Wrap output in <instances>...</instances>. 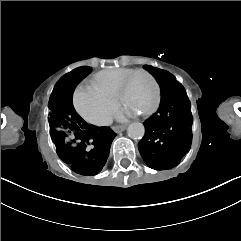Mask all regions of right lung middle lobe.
I'll return each mask as SVG.
<instances>
[{
    "label": "right lung middle lobe",
    "mask_w": 241,
    "mask_h": 241,
    "mask_svg": "<svg viewBox=\"0 0 241 241\" xmlns=\"http://www.w3.org/2000/svg\"><path fill=\"white\" fill-rule=\"evenodd\" d=\"M88 68L91 70L90 67ZM68 74L61 77L56 83L48 103L50 109L49 125L51 128V137L55 144H69L74 140V136L66 123L65 111L63 109L65 104H72V93L68 92L66 85V77Z\"/></svg>",
    "instance_id": "dd1d6c3e"
}]
</instances>
